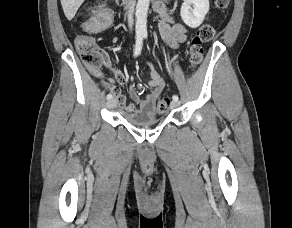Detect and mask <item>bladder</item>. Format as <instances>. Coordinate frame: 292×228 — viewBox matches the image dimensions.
Instances as JSON below:
<instances>
[{
  "mask_svg": "<svg viewBox=\"0 0 292 228\" xmlns=\"http://www.w3.org/2000/svg\"><path fill=\"white\" fill-rule=\"evenodd\" d=\"M125 119L132 125L139 127H148L157 124L160 119L155 115H144V114H129L126 115Z\"/></svg>",
  "mask_w": 292,
  "mask_h": 228,
  "instance_id": "bladder-1",
  "label": "bladder"
}]
</instances>
